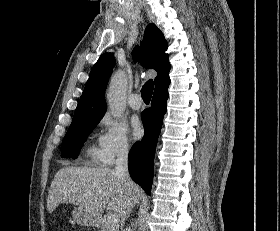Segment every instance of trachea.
Returning <instances> with one entry per match:
<instances>
[{
  "instance_id": "trachea-1",
  "label": "trachea",
  "mask_w": 280,
  "mask_h": 231,
  "mask_svg": "<svg viewBox=\"0 0 280 231\" xmlns=\"http://www.w3.org/2000/svg\"><path fill=\"white\" fill-rule=\"evenodd\" d=\"M153 89H154V83L152 80L147 81L141 89V96L146 104L150 103Z\"/></svg>"
}]
</instances>
